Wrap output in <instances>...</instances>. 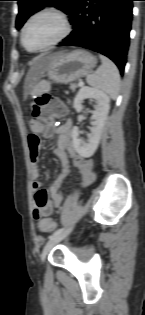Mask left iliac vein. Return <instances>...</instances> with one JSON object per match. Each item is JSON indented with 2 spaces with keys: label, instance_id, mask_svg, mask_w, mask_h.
Returning <instances> with one entry per match:
<instances>
[{
  "label": "left iliac vein",
  "instance_id": "left-iliac-vein-1",
  "mask_svg": "<svg viewBox=\"0 0 145 315\" xmlns=\"http://www.w3.org/2000/svg\"><path fill=\"white\" fill-rule=\"evenodd\" d=\"M73 227H70L69 229L61 232L58 235H55L53 237H51L49 239V241L46 243L43 252L41 254V259L42 261H44L46 255L49 253V251L57 244L59 243L61 240H63L71 231H72Z\"/></svg>",
  "mask_w": 145,
  "mask_h": 315
}]
</instances>
